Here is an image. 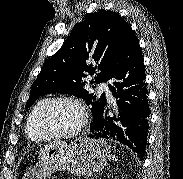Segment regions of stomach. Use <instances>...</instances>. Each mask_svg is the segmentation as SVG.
<instances>
[{
    "instance_id": "0dacf381",
    "label": "stomach",
    "mask_w": 183,
    "mask_h": 179,
    "mask_svg": "<svg viewBox=\"0 0 183 179\" xmlns=\"http://www.w3.org/2000/svg\"><path fill=\"white\" fill-rule=\"evenodd\" d=\"M110 158V146L105 140L77 138L70 144L55 140L40 150L36 164L26 169L23 179H48L57 171L77 176L98 172Z\"/></svg>"
}]
</instances>
